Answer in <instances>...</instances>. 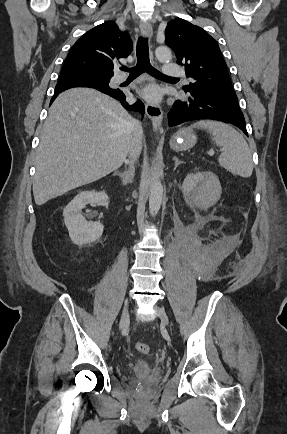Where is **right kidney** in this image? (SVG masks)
<instances>
[{
	"label": "right kidney",
	"instance_id": "obj_1",
	"mask_svg": "<svg viewBox=\"0 0 287 434\" xmlns=\"http://www.w3.org/2000/svg\"><path fill=\"white\" fill-rule=\"evenodd\" d=\"M87 204H99L107 207L109 205L108 195L104 191H83L65 207L63 212L65 225L72 242L79 246L99 239L104 229L100 222H87L85 220L81 211Z\"/></svg>",
	"mask_w": 287,
	"mask_h": 434
}]
</instances>
